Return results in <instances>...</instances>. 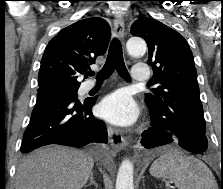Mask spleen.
<instances>
[{
	"label": "spleen",
	"instance_id": "obj_1",
	"mask_svg": "<svg viewBox=\"0 0 223 189\" xmlns=\"http://www.w3.org/2000/svg\"><path fill=\"white\" fill-rule=\"evenodd\" d=\"M150 174L174 182L178 189H218L212 172L202 161L177 151L167 152L155 160Z\"/></svg>",
	"mask_w": 223,
	"mask_h": 189
}]
</instances>
